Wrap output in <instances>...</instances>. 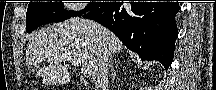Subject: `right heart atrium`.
I'll return each instance as SVG.
<instances>
[{"instance_id":"1","label":"right heart atrium","mask_w":216,"mask_h":90,"mask_svg":"<svg viewBox=\"0 0 216 90\" xmlns=\"http://www.w3.org/2000/svg\"><path fill=\"white\" fill-rule=\"evenodd\" d=\"M69 9L71 12H82L83 10H87V6L89 2H70Z\"/></svg>"}]
</instances>
